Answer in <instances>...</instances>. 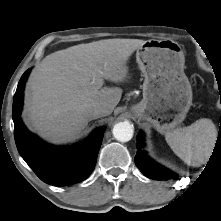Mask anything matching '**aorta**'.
I'll use <instances>...</instances> for the list:
<instances>
[{"mask_svg":"<svg viewBox=\"0 0 221 221\" xmlns=\"http://www.w3.org/2000/svg\"><path fill=\"white\" fill-rule=\"evenodd\" d=\"M112 133L116 140L128 142L133 137V127L129 122H119L114 125Z\"/></svg>","mask_w":221,"mask_h":221,"instance_id":"1","label":"aorta"}]
</instances>
